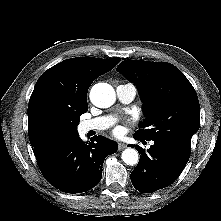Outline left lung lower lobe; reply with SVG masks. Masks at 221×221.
Here are the masks:
<instances>
[{
    "label": "left lung lower lobe",
    "instance_id": "obj_1",
    "mask_svg": "<svg viewBox=\"0 0 221 221\" xmlns=\"http://www.w3.org/2000/svg\"><path fill=\"white\" fill-rule=\"evenodd\" d=\"M153 141L154 145L147 151L136 146L141 156L131 173V181L143 193H152L171 185L183 171L191 153L167 141Z\"/></svg>",
    "mask_w": 221,
    "mask_h": 221
}]
</instances>
